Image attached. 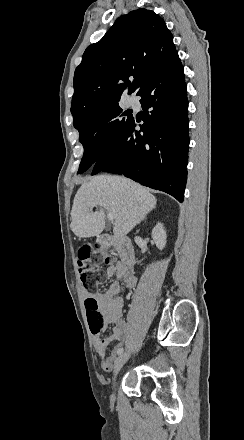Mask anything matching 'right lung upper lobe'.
Here are the masks:
<instances>
[{
	"label": "right lung upper lobe",
	"mask_w": 244,
	"mask_h": 440,
	"mask_svg": "<svg viewBox=\"0 0 244 440\" xmlns=\"http://www.w3.org/2000/svg\"><path fill=\"white\" fill-rule=\"evenodd\" d=\"M180 63L164 20L144 8L131 11L85 50L74 74L71 110L139 93L162 68Z\"/></svg>",
	"instance_id": "right-lung-upper-lobe-1"
}]
</instances>
